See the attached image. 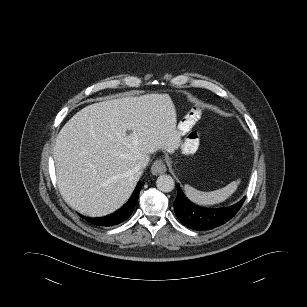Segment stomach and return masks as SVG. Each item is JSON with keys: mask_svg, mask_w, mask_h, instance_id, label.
I'll return each mask as SVG.
<instances>
[{"mask_svg": "<svg viewBox=\"0 0 307 307\" xmlns=\"http://www.w3.org/2000/svg\"><path fill=\"white\" fill-rule=\"evenodd\" d=\"M199 147V138L196 132H189L181 145L184 154H194Z\"/></svg>", "mask_w": 307, "mask_h": 307, "instance_id": "obj_1", "label": "stomach"}]
</instances>
